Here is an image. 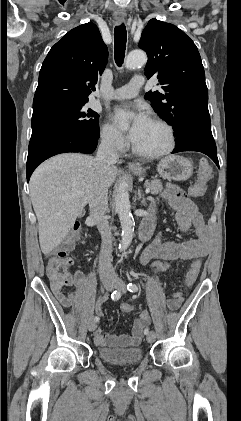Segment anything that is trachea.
Returning <instances> with one entry per match:
<instances>
[{"mask_svg": "<svg viewBox=\"0 0 241 421\" xmlns=\"http://www.w3.org/2000/svg\"><path fill=\"white\" fill-rule=\"evenodd\" d=\"M127 31L124 24L115 27L114 30V58L118 66H121L125 57Z\"/></svg>", "mask_w": 241, "mask_h": 421, "instance_id": "trachea-1", "label": "trachea"}]
</instances>
